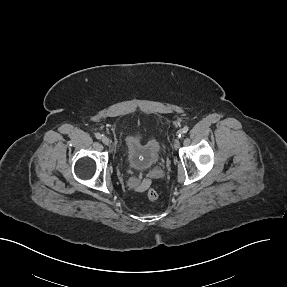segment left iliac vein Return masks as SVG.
I'll list each match as a JSON object with an SVG mask.
<instances>
[{
	"label": "left iliac vein",
	"instance_id": "obj_1",
	"mask_svg": "<svg viewBox=\"0 0 287 287\" xmlns=\"http://www.w3.org/2000/svg\"><path fill=\"white\" fill-rule=\"evenodd\" d=\"M179 132H181V130H180ZM179 145H180L179 141H178V140H175V141H174V146H175V147H179Z\"/></svg>",
	"mask_w": 287,
	"mask_h": 287
}]
</instances>
